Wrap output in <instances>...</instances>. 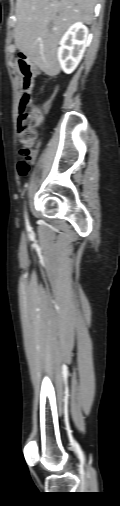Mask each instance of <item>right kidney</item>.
I'll use <instances>...</instances> for the list:
<instances>
[{
	"mask_svg": "<svg viewBox=\"0 0 120 506\" xmlns=\"http://www.w3.org/2000/svg\"><path fill=\"white\" fill-rule=\"evenodd\" d=\"M88 36V28L77 22L71 25L61 38L57 57L65 73H72L81 61L88 45Z\"/></svg>",
	"mask_w": 120,
	"mask_h": 506,
	"instance_id": "right-kidney-1",
	"label": "right kidney"
}]
</instances>
